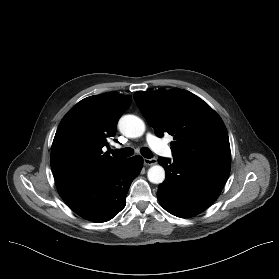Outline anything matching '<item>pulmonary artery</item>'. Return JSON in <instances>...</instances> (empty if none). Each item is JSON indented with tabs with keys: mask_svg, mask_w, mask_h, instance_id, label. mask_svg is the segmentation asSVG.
Segmentation results:
<instances>
[{
	"mask_svg": "<svg viewBox=\"0 0 279 279\" xmlns=\"http://www.w3.org/2000/svg\"><path fill=\"white\" fill-rule=\"evenodd\" d=\"M147 142L157 153L163 156H168L170 153L168 145L152 134L147 135Z\"/></svg>",
	"mask_w": 279,
	"mask_h": 279,
	"instance_id": "pulmonary-artery-1",
	"label": "pulmonary artery"
}]
</instances>
